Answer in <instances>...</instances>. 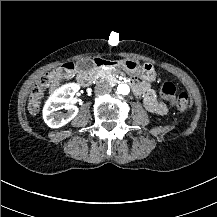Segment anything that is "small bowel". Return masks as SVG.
Masks as SVG:
<instances>
[{"mask_svg": "<svg viewBox=\"0 0 217 217\" xmlns=\"http://www.w3.org/2000/svg\"><path fill=\"white\" fill-rule=\"evenodd\" d=\"M138 87L134 90L136 95L143 94L145 108L154 114L165 115L168 112V106L166 103L158 101L155 91L145 83L138 82Z\"/></svg>", "mask_w": 217, "mask_h": 217, "instance_id": "small-bowel-1", "label": "small bowel"}]
</instances>
